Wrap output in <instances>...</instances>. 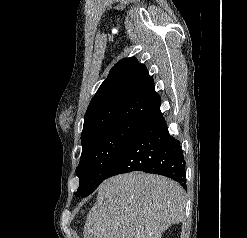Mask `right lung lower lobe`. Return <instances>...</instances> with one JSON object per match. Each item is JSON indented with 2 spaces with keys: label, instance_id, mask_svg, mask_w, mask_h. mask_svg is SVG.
<instances>
[{
  "label": "right lung lower lobe",
  "instance_id": "obj_1",
  "mask_svg": "<svg viewBox=\"0 0 247 238\" xmlns=\"http://www.w3.org/2000/svg\"><path fill=\"white\" fill-rule=\"evenodd\" d=\"M132 171L167 176L186 187L183 154L179 142L169 135L161 112L145 122L113 163L105 179Z\"/></svg>",
  "mask_w": 247,
  "mask_h": 238
}]
</instances>
